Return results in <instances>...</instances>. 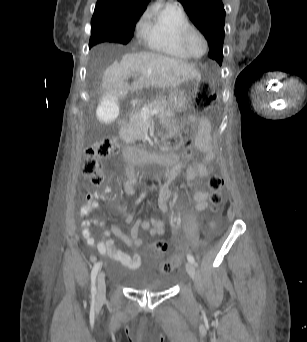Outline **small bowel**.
I'll use <instances>...</instances> for the list:
<instances>
[{
	"label": "small bowel",
	"instance_id": "c3829d8e",
	"mask_svg": "<svg viewBox=\"0 0 307 342\" xmlns=\"http://www.w3.org/2000/svg\"><path fill=\"white\" fill-rule=\"evenodd\" d=\"M189 124L195 130V148L203 153V159L193 160V162L187 167L186 176L187 179L195 184L199 178L207 177L210 175L214 168L211 163L215 160L216 154L213 147L211 136V123L206 116L203 115H191L189 117ZM174 160V167L167 177L166 184L162 187L159 196V207L163 211L168 210L167 200L170 196L168 187L169 181L183 168V162H180L177 154H172ZM135 184L134 172L132 169L128 171V179L125 184L126 192L133 193V186ZM209 193L206 190H198L194 194V210L197 212L205 211L208 208ZM107 196L104 193L94 192L86 195V203L80 209V216L85 217L92 211L99 207V201L105 200ZM121 215L125 221L131 225L130 235L127 236L118 227H112L105 230L103 238L100 242L95 243L91 233V221H83L81 224L82 235L86 239L87 243L91 246H95L99 253L110 256L113 260L123 264L124 266L134 269L140 264L139 256H130L120 250L115 242L110 238L111 234L121 238L129 247L139 248L143 245L142 239L138 236V228L147 230L150 233H160L163 235L166 232L163 222L159 218H152L151 221L138 220L133 221L132 215L125 209L121 210ZM103 226V222H94Z\"/></svg>",
	"mask_w": 307,
	"mask_h": 342
}]
</instances>
